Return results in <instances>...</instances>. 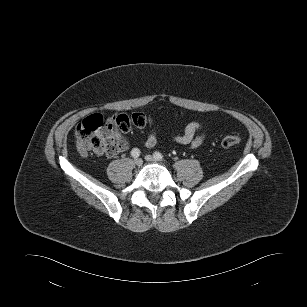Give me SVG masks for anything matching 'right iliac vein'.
<instances>
[{
  "label": "right iliac vein",
  "instance_id": "right-iliac-vein-1",
  "mask_svg": "<svg viewBox=\"0 0 307 307\" xmlns=\"http://www.w3.org/2000/svg\"><path fill=\"white\" fill-rule=\"evenodd\" d=\"M134 163L137 167H140V166H142L143 161H142V159L137 158V159L134 160Z\"/></svg>",
  "mask_w": 307,
  "mask_h": 307
}]
</instances>
